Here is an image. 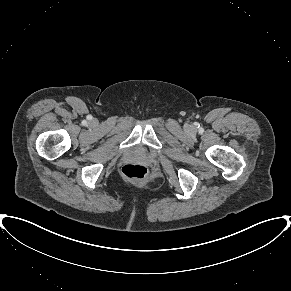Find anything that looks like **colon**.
Segmentation results:
<instances>
[{
    "instance_id": "obj_1",
    "label": "colon",
    "mask_w": 291,
    "mask_h": 291,
    "mask_svg": "<svg viewBox=\"0 0 291 291\" xmlns=\"http://www.w3.org/2000/svg\"><path fill=\"white\" fill-rule=\"evenodd\" d=\"M123 175L133 181H144L148 176L145 166L139 164H126L122 168Z\"/></svg>"
}]
</instances>
